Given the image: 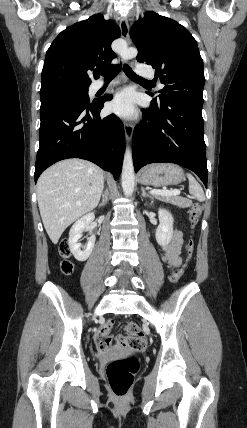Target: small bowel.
<instances>
[{
  "label": "small bowel",
  "instance_id": "small-bowel-1",
  "mask_svg": "<svg viewBox=\"0 0 247 428\" xmlns=\"http://www.w3.org/2000/svg\"><path fill=\"white\" fill-rule=\"evenodd\" d=\"M183 246V234L178 230H174L171 235V241L162 244L163 260L170 267H177L181 261V250Z\"/></svg>",
  "mask_w": 247,
  "mask_h": 428
}]
</instances>
